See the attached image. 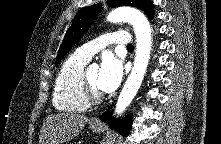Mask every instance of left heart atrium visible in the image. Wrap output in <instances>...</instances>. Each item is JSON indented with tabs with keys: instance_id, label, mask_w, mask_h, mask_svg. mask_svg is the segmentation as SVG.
Wrapping results in <instances>:
<instances>
[{
	"instance_id": "39dd6f15",
	"label": "left heart atrium",
	"mask_w": 221,
	"mask_h": 144,
	"mask_svg": "<svg viewBox=\"0 0 221 144\" xmlns=\"http://www.w3.org/2000/svg\"><path fill=\"white\" fill-rule=\"evenodd\" d=\"M123 78V64L117 57L107 54L102 58L97 78V87L103 92L114 91Z\"/></svg>"
}]
</instances>
